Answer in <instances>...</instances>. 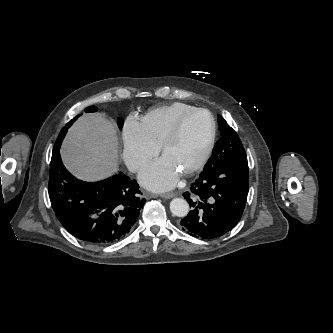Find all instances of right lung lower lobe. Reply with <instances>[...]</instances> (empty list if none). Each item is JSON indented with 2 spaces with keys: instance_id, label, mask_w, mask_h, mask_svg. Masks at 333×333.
<instances>
[{
  "instance_id": "right-lung-lower-lobe-1",
  "label": "right lung lower lobe",
  "mask_w": 333,
  "mask_h": 333,
  "mask_svg": "<svg viewBox=\"0 0 333 333\" xmlns=\"http://www.w3.org/2000/svg\"><path fill=\"white\" fill-rule=\"evenodd\" d=\"M62 135L52 153L48 184L58 220L70 234L86 243L106 245L119 241L130 232L146 201L139 185L122 172L98 182L78 180L62 163Z\"/></svg>"
}]
</instances>
